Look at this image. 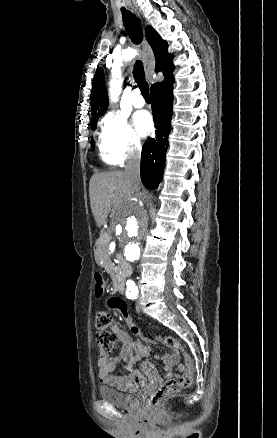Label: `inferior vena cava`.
Instances as JSON below:
<instances>
[{
	"label": "inferior vena cava",
	"instance_id": "602c4592",
	"mask_svg": "<svg viewBox=\"0 0 277 438\" xmlns=\"http://www.w3.org/2000/svg\"><path fill=\"white\" fill-rule=\"evenodd\" d=\"M126 178L131 188H139L140 182V152H134L129 156L125 166Z\"/></svg>",
	"mask_w": 277,
	"mask_h": 438
}]
</instances>
